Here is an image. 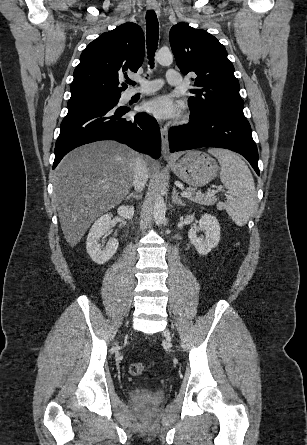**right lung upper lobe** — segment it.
Instances as JSON below:
<instances>
[{"label":"right lung upper lobe","instance_id":"1","mask_svg":"<svg viewBox=\"0 0 307 445\" xmlns=\"http://www.w3.org/2000/svg\"><path fill=\"white\" fill-rule=\"evenodd\" d=\"M144 59V34L140 26L128 22L103 33L82 52L74 71L70 100L115 96L126 89L119 80L128 71L137 72Z\"/></svg>","mask_w":307,"mask_h":445}]
</instances>
